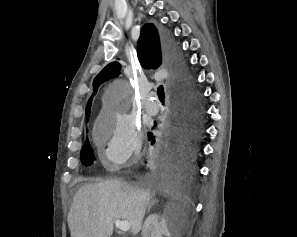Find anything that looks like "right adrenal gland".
I'll return each instance as SVG.
<instances>
[{
	"instance_id": "obj_1",
	"label": "right adrenal gland",
	"mask_w": 297,
	"mask_h": 237,
	"mask_svg": "<svg viewBox=\"0 0 297 237\" xmlns=\"http://www.w3.org/2000/svg\"><path fill=\"white\" fill-rule=\"evenodd\" d=\"M157 203L156 199H152L149 206H148V212H150V209L152 208V206Z\"/></svg>"
}]
</instances>
